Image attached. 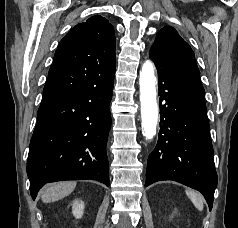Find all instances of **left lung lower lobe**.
<instances>
[{
  "instance_id": "0a47b994",
  "label": "left lung lower lobe",
  "mask_w": 238,
  "mask_h": 228,
  "mask_svg": "<svg viewBox=\"0 0 238 228\" xmlns=\"http://www.w3.org/2000/svg\"><path fill=\"white\" fill-rule=\"evenodd\" d=\"M158 70L160 132L145 186L173 180L200 191L210 210L217 187L205 91L195 77L150 56Z\"/></svg>"
}]
</instances>
